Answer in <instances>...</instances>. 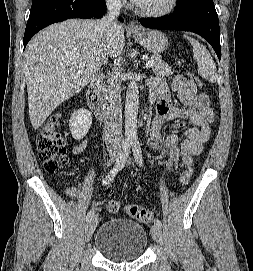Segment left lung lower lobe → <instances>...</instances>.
<instances>
[{
    "label": "left lung lower lobe",
    "mask_w": 253,
    "mask_h": 271,
    "mask_svg": "<svg viewBox=\"0 0 253 271\" xmlns=\"http://www.w3.org/2000/svg\"><path fill=\"white\" fill-rule=\"evenodd\" d=\"M147 28L190 31L205 38L221 58L220 28L213 0H185L177 3L175 11L165 17L142 18Z\"/></svg>",
    "instance_id": "obj_1"
}]
</instances>
